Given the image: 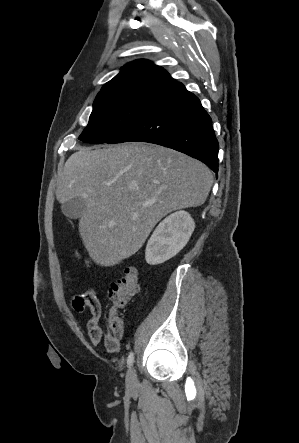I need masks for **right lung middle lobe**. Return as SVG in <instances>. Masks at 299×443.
<instances>
[{
    "label": "right lung middle lobe",
    "mask_w": 299,
    "mask_h": 443,
    "mask_svg": "<svg viewBox=\"0 0 299 443\" xmlns=\"http://www.w3.org/2000/svg\"><path fill=\"white\" fill-rule=\"evenodd\" d=\"M166 89L138 87L116 89L97 95L87 127L79 139L107 143L128 128Z\"/></svg>",
    "instance_id": "obj_1"
}]
</instances>
